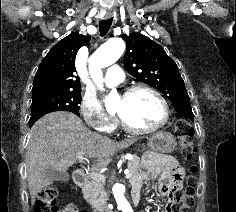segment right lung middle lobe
Masks as SVG:
<instances>
[{
	"mask_svg": "<svg viewBox=\"0 0 236 212\" xmlns=\"http://www.w3.org/2000/svg\"><path fill=\"white\" fill-rule=\"evenodd\" d=\"M81 90L47 91L32 95L31 118L29 123L54 111H69L79 115Z\"/></svg>",
	"mask_w": 236,
	"mask_h": 212,
	"instance_id": "1",
	"label": "right lung middle lobe"
}]
</instances>
